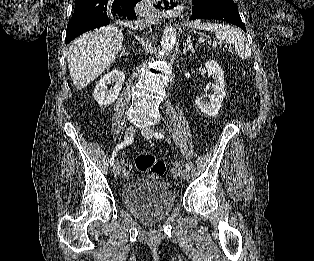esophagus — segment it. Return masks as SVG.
Listing matches in <instances>:
<instances>
[{"instance_id": "obj_1", "label": "esophagus", "mask_w": 314, "mask_h": 261, "mask_svg": "<svg viewBox=\"0 0 314 261\" xmlns=\"http://www.w3.org/2000/svg\"><path fill=\"white\" fill-rule=\"evenodd\" d=\"M169 7L168 9H161V10H158L163 16H172L174 14H180L181 10H182V6L180 4H171L169 2Z\"/></svg>"}]
</instances>
